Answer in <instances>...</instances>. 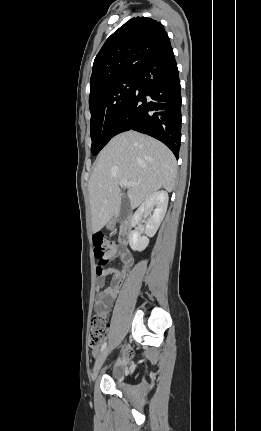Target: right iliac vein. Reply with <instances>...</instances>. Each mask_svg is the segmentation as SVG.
<instances>
[{
  "mask_svg": "<svg viewBox=\"0 0 261 431\" xmlns=\"http://www.w3.org/2000/svg\"><path fill=\"white\" fill-rule=\"evenodd\" d=\"M108 352H109V348L105 349L102 352V354L98 357V359L96 360L95 365L93 367V374H92V380L93 381L96 380L98 373H99V371H100V369H101V367H102V365H103V363H104V361L108 355Z\"/></svg>",
  "mask_w": 261,
  "mask_h": 431,
  "instance_id": "1",
  "label": "right iliac vein"
}]
</instances>
